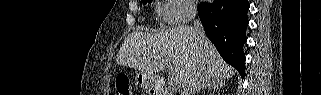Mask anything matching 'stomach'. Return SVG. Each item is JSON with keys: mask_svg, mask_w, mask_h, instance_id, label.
Segmentation results:
<instances>
[{"mask_svg": "<svg viewBox=\"0 0 321 95\" xmlns=\"http://www.w3.org/2000/svg\"><path fill=\"white\" fill-rule=\"evenodd\" d=\"M136 83L144 91H149L152 88V83L150 77L144 72H139L136 75Z\"/></svg>", "mask_w": 321, "mask_h": 95, "instance_id": "1", "label": "stomach"}]
</instances>
